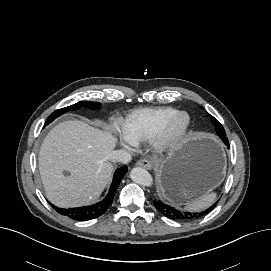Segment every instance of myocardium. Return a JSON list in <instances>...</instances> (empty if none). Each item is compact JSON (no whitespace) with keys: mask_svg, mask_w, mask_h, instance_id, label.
I'll list each match as a JSON object with an SVG mask.
<instances>
[{"mask_svg":"<svg viewBox=\"0 0 271 271\" xmlns=\"http://www.w3.org/2000/svg\"><path fill=\"white\" fill-rule=\"evenodd\" d=\"M185 123L178 127L180 119ZM192 127L191 116L185 111H177L153 137V145L159 152H166L179 146L190 134Z\"/></svg>","mask_w":271,"mask_h":271,"instance_id":"myocardium-1","label":"myocardium"}]
</instances>
